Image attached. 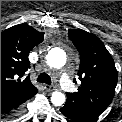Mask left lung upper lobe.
Segmentation results:
<instances>
[{"mask_svg":"<svg viewBox=\"0 0 122 122\" xmlns=\"http://www.w3.org/2000/svg\"><path fill=\"white\" fill-rule=\"evenodd\" d=\"M68 36L80 53L78 76L81 85L77 92L67 93V98L102 113L115 94L118 77L114 61L94 34L71 29Z\"/></svg>","mask_w":122,"mask_h":122,"instance_id":"left-lung-upper-lobe-1","label":"left lung upper lobe"}]
</instances>
